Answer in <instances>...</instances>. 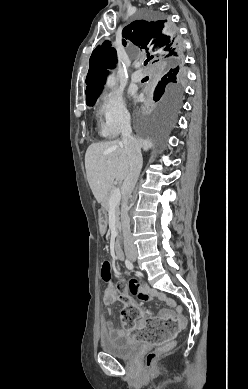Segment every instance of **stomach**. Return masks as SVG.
I'll list each match as a JSON object with an SVG mask.
<instances>
[{
  "label": "stomach",
  "mask_w": 248,
  "mask_h": 389,
  "mask_svg": "<svg viewBox=\"0 0 248 389\" xmlns=\"http://www.w3.org/2000/svg\"><path fill=\"white\" fill-rule=\"evenodd\" d=\"M107 209L105 207H100L99 208V220H100V229H99V234L100 235H105L107 231V220H110L111 215L110 213H106Z\"/></svg>",
  "instance_id": "1"
}]
</instances>
